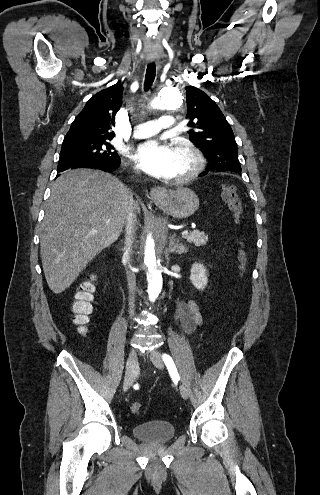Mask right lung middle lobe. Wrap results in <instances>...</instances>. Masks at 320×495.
<instances>
[{
  "instance_id": "1",
  "label": "right lung middle lobe",
  "mask_w": 320,
  "mask_h": 495,
  "mask_svg": "<svg viewBox=\"0 0 320 495\" xmlns=\"http://www.w3.org/2000/svg\"><path fill=\"white\" fill-rule=\"evenodd\" d=\"M107 139L64 140L58 169L84 162H117L120 160Z\"/></svg>"
}]
</instances>
